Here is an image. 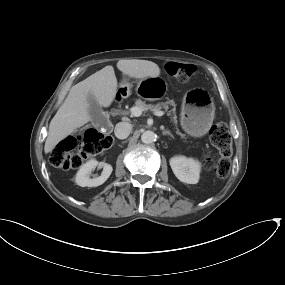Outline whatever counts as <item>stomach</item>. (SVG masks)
Instances as JSON below:
<instances>
[{
    "label": "stomach",
    "mask_w": 285,
    "mask_h": 285,
    "mask_svg": "<svg viewBox=\"0 0 285 285\" xmlns=\"http://www.w3.org/2000/svg\"><path fill=\"white\" fill-rule=\"evenodd\" d=\"M162 82L159 77H149L143 79L138 85V94L148 100L152 98L147 97L143 91V86L149 83ZM127 91H130L131 85L126 80L121 84ZM214 104L210 96L203 90H192L185 94L182 101L181 110V126L182 129L193 137H201L205 135L214 119Z\"/></svg>",
    "instance_id": "stomach-1"
}]
</instances>
